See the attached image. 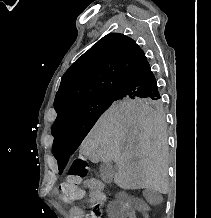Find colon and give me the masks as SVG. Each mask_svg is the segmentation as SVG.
Segmentation results:
<instances>
[{"mask_svg": "<svg viewBox=\"0 0 211 218\" xmlns=\"http://www.w3.org/2000/svg\"><path fill=\"white\" fill-rule=\"evenodd\" d=\"M89 172L88 163L85 159H77L72 164L69 174L65 181L60 185V198L65 203H72L81 199L84 195V190L81 187L83 180ZM88 218H101V210L98 205L94 206L92 211L87 214Z\"/></svg>", "mask_w": 211, "mask_h": 218, "instance_id": "colon-1", "label": "colon"}]
</instances>
